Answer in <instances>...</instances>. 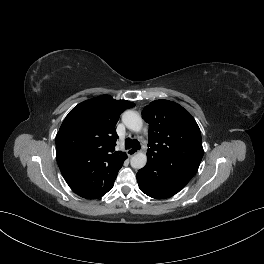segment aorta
<instances>
[{"label": "aorta", "instance_id": "1", "mask_svg": "<svg viewBox=\"0 0 264 264\" xmlns=\"http://www.w3.org/2000/svg\"><path fill=\"white\" fill-rule=\"evenodd\" d=\"M122 121L128 129L135 132H140L143 127L141 116L133 110H126L122 114ZM130 163L133 168L141 169L147 163V156L143 152H138L131 158Z\"/></svg>", "mask_w": 264, "mask_h": 264}]
</instances>
